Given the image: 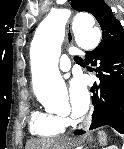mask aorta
I'll use <instances>...</instances> for the list:
<instances>
[{"mask_svg":"<svg viewBox=\"0 0 124 149\" xmlns=\"http://www.w3.org/2000/svg\"><path fill=\"white\" fill-rule=\"evenodd\" d=\"M68 20V11H52L37 27L30 48L34 93L40 103L53 109L66 100L67 96L66 86L58 69V60ZM72 29L79 47L91 50L99 44L101 32L95 27L91 15L76 14Z\"/></svg>","mask_w":124,"mask_h":149,"instance_id":"aorta-1","label":"aorta"}]
</instances>
